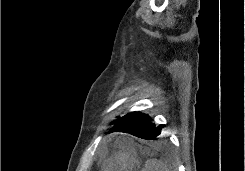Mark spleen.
Listing matches in <instances>:
<instances>
[{
	"label": "spleen",
	"mask_w": 245,
	"mask_h": 171,
	"mask_svg": "<svg viewBox=\"0 0 245 171\" xmlns=\"http://www.w3.org/2000/svg\"><path fill=\"white\" fill-rule=\"evenodd\" d=\"M141 171H170L166 162L157 159H149L145 162Z\"/></svg>",
	"instance_id": "spleen-1"
}]
</instances>
